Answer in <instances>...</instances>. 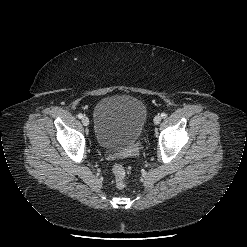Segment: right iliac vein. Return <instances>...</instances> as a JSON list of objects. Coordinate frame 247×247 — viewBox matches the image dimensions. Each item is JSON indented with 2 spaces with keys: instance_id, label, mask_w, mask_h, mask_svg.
Listing matches in <instances>:
<instances>
[{
  "instance_id": "63e3f726",
  "label": "right iliac vein",
  "mask_w": 247,
  "mask_h": 247,
  "mask_svg": "<svg viewBox=\"0 0 247 247\" xmlns=\"http://www.w3.org/2000/svg\"><path fill=\"white\" fill-rule=\"evenodd\" d=\"M82 123H83L84 126H88L89 125V119H88V117H86V116L83 117L82 118Z\"/></svg>"
}]
</instances>
